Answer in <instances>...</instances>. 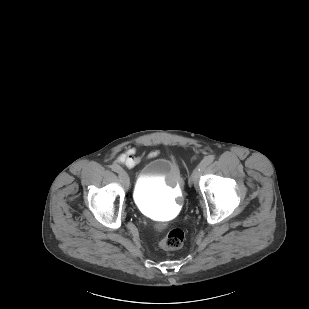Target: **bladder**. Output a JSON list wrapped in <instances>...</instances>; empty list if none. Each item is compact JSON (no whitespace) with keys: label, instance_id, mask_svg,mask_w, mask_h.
<instances>
[{"label":"bladder","instance_id":"1","mask_svg":"<svg viewBox=\"0 0 309 309\" xmlns=\"http://www.w3.org/2000/svg\"><path fill=\"white\" fill-rule=\"evenodd\" d=\"M183 177L177 163L157 157L146 163L136 180L133 198L137 208L158 219L174 216L180 204Z\"/></svg>","mask_w":309,"mask_h":309}]
</instances>
